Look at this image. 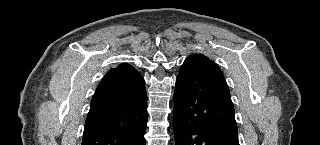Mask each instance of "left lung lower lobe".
<instances>
[{"label":"left lung lower lobe","mask_w":320,"mask_h":145,"mask_svg":"<svg viewBox=\"0 0 320 145\" xmlns=\"http://www.w3.org/2000/svg\"><path fill=\"white\" fill-rule=\"evenodd\" d=\"M174 102L175 145H239L230 91L219 68L186 59Z\"/></svg>","instance_id":"obj_1"}]
</instances>
